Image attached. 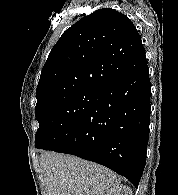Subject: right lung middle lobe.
<instances>
[{
  "label": "right lung middle lobe",
  "mask_w": 178,
  "mask_h": 195,
  "mask_svg": "<svg viewBox=\"0 0 178 195\" xmlns=\"http://www.w3.org/2000/svg\"><path fill=\"white\" fill-rule=\"evenodd\" d=\"M98 95L97 90H76L48 98L35 107L39 128L35 147L55 149L66 134L83 119Z\"/></svg>",
  "instance_id": "obj_1"
}]
</instances>
